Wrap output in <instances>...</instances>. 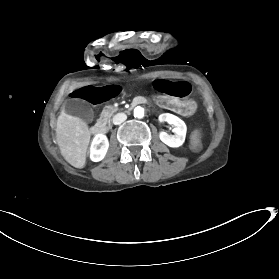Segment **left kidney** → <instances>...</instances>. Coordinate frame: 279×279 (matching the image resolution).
Here are the masks:
<instances>
[{
	"mask_svg": "<svg viewBox=\"0 0 279 279\" xmlns=\"http://www.w3.org/2000/svg\"><path fill=\"white\" fill-rule=\"evenodd\" d=\"M160 120L165 121L170 125H174L173 135H168L166 132H161L159 135L160 140L171 148H178L185 142L187 127L183 120L171 114H161Z\"/></svg>",
	"mask_w": 279,
	"mask_h": 279,
	"instance_id": "obj_1",
	"label": "left kidney"
}]
</instances>
